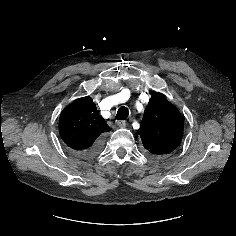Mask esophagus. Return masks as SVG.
I'll list each match as a JSON object with an SVG mask.
<instances>
[{
  "instance_id": "34e87169",
  "label": "esophagus",
  "mask_w": 236,
  "mask_h": 236,
  "mask_svg": "<svg viewBox=\"0 0 236 236\" xmlns=\"http://www.w3.org/2000/svg\"><path fill=\"white\" fill-rule=\"evenodd\" d=\"M117 125L119 128H126L127 127L126 121H123V120H118Z\"/></svg>"
}]
</instances>
